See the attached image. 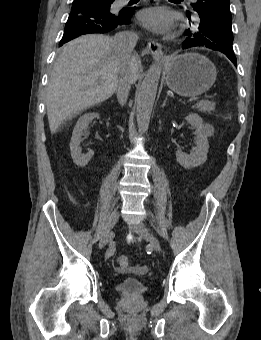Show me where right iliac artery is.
<instances>
[{
    "mask_svg": "<svg viewBox=\"0 0 261 340\" xmlns=\"http://www.w3.org/2000/svg\"><path fill=\"white\" fill-rule=\"evenodd\" d=\"M114 251H115V242L111 241L110 244H109V247H108V249L105 253V257L110 258L114 254Z\"/></svg>",
    "mask_w": 261,
    "mask_h": 340,
    "instance_id": "obj_1",
    "label": "right iliac artery"
}]
</instances>
